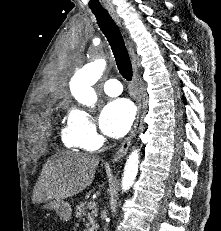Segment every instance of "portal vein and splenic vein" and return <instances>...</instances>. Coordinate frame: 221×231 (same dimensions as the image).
Wrapping results in <instances>:
<instances>
[{"label": "portal vein and splenic vein", "instance_id": "obj_1", "mask_svg": "<svg viewBox=\"0 0 221 231\" xmlns=\"http://www.w3.org/2000/svg\"><path fill=\"white\" fill-rule=\"evenodd\" d=\"M96 206V203L95 202H90L89 203V208H94Z\"/></svg>", "mask_w": 221, "mask_h": 231}]
</instances>
